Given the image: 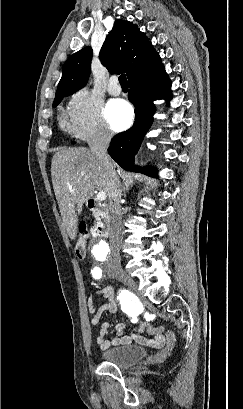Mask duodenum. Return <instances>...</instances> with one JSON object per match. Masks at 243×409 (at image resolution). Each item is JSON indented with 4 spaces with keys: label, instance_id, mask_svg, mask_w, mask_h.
I'll use <instances>...</instances> for the list:
<instances>
[{
    "label": "duodenum",
    "instance_id": "duodenum-1",
    "mask_svg": "<svg viewBox=\"0 0 243 409\" xmlns=\"http://www.w3.org/2000/svg\"><path fill=\"white\" fill-rule=\"evenodd\" d=\"M87 206L97 214V223L93 228L94 233L101 237H107L109 235L108 206L93 198L87 201Z\"/></svg>",
    "mask_w": 243,
    "mask_h": 409
}]
</instances>
